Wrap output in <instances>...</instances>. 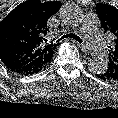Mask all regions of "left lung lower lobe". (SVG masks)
Here are the masks:
<instances>
[{"instance_id": "obj_1", "label": "left lung lower lobe", "mask_w": 118, "mask_h": 118, "mask_svg": "<svg viewBox=\"0 0 118 118\" xmlns=\"http://www.w3.org/2000/svg\"><path fill=\"white\" fill-rule=\"evenodd\" d=\"M98 77L102 78L101 75H98ZM102 79H104V78H102ZM104 80H105V79H104Z\"/></svg>"}]
</instances>
